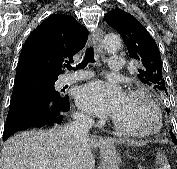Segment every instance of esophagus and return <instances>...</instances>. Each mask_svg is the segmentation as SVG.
Segmentation results:
<instances>
[{"instance_id": "esophagus-1", "label": "esophagus", "mask_w": 177, "mask_h": 169, "mask_svg": "<svg viewBox=\"0 0 177 169\" xmlns=\"http://www.w3.org/2000/svg\"><path fill=\"white\" fill-rule=\"evenodd\" d=\"M102 39L103 31L101 29H97L90 37V42L98 53H102L103 51Z\"/></svg>"}]
</instances>
